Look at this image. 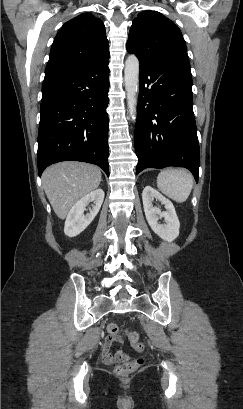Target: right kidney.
Listing matches in <instances>:
<instances>
[{
  "label": "right kidney",
  "instance_id": "1",
  "mask_svg": "<svg viewBox=\"0 0 243 409\" xmlns=\"http://www.w3.org/2000/svg\"><path fill=\"white\" fill-rule=\"evenodd\" d=\"M104 195L105 194L102 189H96L80 199L71 208L65 221V235H67L68 237H75L88 227V225L94 220L95 216L99 212L104 200ZM90 202H94L93 208L89 213L84 215L86 206Z\"/></svg>",
  "mask_w": 243,
  "mask_h": 409
}]
</instances>
